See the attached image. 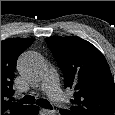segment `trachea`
<instances>
[{
    "label": "trachea",
    "mask_w": 115,
    "mask_h": 115,
    "mask_svg": "<svg viewBox=\"0 0 115 115\" xmlns=\"http://www.w3.org/2000/svg\"><path fill=\"white\" fill-rule=\"evenodd\" d=\"M18 101L22 104H34V103H36L38 106H40L42 108L53 109L52 105L47 100H45V99L35 100V98L33 96H30V95H26L25 97H23L22 99H20Z\"/></svg>",
    "instance_id": "trachea-1"
}]
</instances>
